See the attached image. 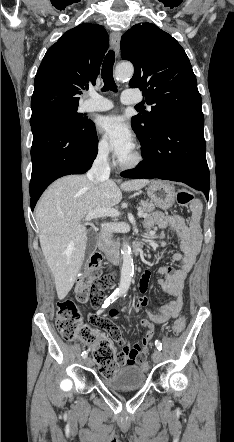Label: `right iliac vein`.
I'll list each match as a JSON object with an SVG mask.
<instances>
[{"label": "right iliac vein", "instance_id": "obj_1", "mask_svg": "<svg viewBox=\"0 0 234 442\" xmlns=\"http://www.w3.org/2000/svg\"><path fill=\"white\" fill-rule=\"evenodd\" d=\"M86 366H92V360L89 357H86L84 360Z\"/></svg>", "mask_w": 234, "mask_h": 442}]
</instances>
